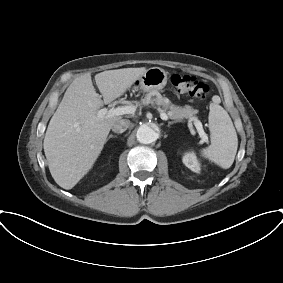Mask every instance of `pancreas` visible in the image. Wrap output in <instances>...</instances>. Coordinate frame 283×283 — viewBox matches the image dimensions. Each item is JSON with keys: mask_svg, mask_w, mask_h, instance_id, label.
Returning a JSON list of instances; mask_svg holds the SVG:
<instances>
[{"mask_svg": "<svg viewBox=\"0 0 283 283\" xmlns=\"http://www.w3.org/2000/svg\"><path fill=\"white\" fill-rule=\"evenodd\" d=\"M149 103L161 105L164 110L169 109L168 116L178 122H181L183 119H188L190 121L197 119V109H194L189 105H185L184 107L175 106L171 104L168 98L162 97L161 95L152 98V94H147L145 98L142 99L141 104L147 105Z\"/></svg>", "mask_w": 283, "mask_h": 283, "instance_id": "pancreas-1", "label": "pancreas"}]
</instances>
